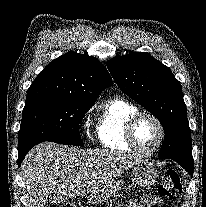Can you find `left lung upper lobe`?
I'll list each match as a JSON object with an SVG mask.
<instances>
[{"label": "left lung upper lobe", "mask_w": 206, "mask_h": 207, "mask_svg": "<svg viewBox=\"0 0 206 207\" xmlns=\"http://www.w3.org/2000/svg\"><path fill=\"white\" fill-rule=\"evenodd\" d=\"M107 67L118 86L151 112L164 128L158 156L193 166L191 133L180 82L149 53L114 57Z\"/></svg>", "instance_id": "1"}]
</instances>
